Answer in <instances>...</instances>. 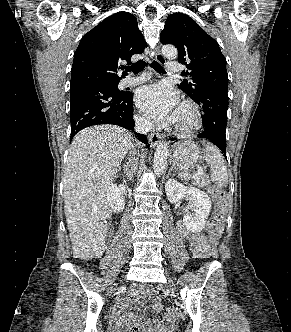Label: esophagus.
<instances>
[{"mask_svg": "<svg viewBox=\"0 0 291 332\" xmlns=\"http://www.w3.org/2000/svg\"><path fill=\"white\" fill-rule=\"evenodd\" d=\"M155 60L160 63V64H164L166 62L164 56L161 54L159 48L157 47L156 48V51H155ZM150 144L151 146H156L158 144V142L162 139V135L159 134V133H155V132H152L150 134Z\"/></svg>", "mask_w": 291, "mask_h": 332, "instance_id": "34e87169", "label": "esophagus"}]
</instances>
